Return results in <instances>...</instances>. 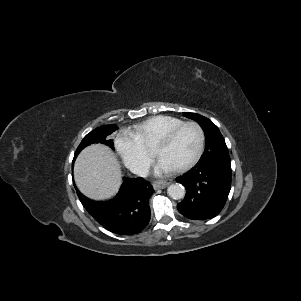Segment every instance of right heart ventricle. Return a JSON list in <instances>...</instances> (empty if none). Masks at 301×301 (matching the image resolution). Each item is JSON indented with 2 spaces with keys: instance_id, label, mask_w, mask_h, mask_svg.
<instances>
[{
  "instance_id": "e07e8e85",
  "label": "right heart ventricle",
  "mask_w": 301,
  "mask_h": 301,
  "mask_svg": "<svg viewBox=\"0 0 301 301\" xmlns=\"http://www.w3.org/2000/svg\"><path fill=\"white\" fill-rule=\"evenodd\" d=\"M183 122L182 119L177 117L158 115L135 124L128 132L146 148L155 142L160 135Z\"/></svg>"
}]
</instances>
